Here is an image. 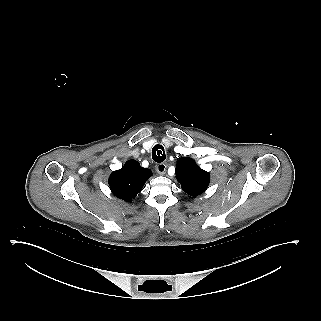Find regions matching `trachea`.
I'll return each instance as SVG.
<instances>
[{
  "instance_id": "1",
  "label": "trachea",
  "mask_w": 321,
  "mask_h": 321,
  "mask_svg": "<svg viewBox=\"0 0 321 321\" xmlns=\"http://www.w3.org/2000/svg\"><path fill=\"white\" fill-rule=\"evenodd\" d=\"M166 158L164 147L162 145H155L152 149V159L155 162H163Z\"/></svg>"
}]
</instances>
